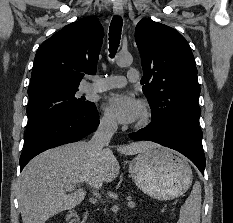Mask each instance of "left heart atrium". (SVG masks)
<instances>
[{
	"instance_id": "left-heart-atrium-1",
	"label": "left heart atrium",
	"mask_w": 233,
	"mask_h": 223,
	"mask_svg": "<svg viewBox=\"0 0 233 223\" xmlns=\"http://www.w3.org/2000/svg\"><path fill=\"white\" fill-rule=\"evenodd\" d=\"M107 111L112 118L128 125L140 119L142 104L139 99L132 95L114 97L109 101Z\"/></svg>"
}]
</instances>
